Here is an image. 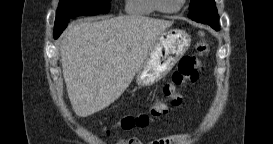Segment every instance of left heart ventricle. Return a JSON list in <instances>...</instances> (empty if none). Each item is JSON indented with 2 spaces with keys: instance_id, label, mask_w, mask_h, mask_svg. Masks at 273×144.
<instances>
[{
  "instance_id": "1",
  "label": "left heart ventricle",
  "mask_w": 273,
  "mask_h": 144,
  "mask_svg": "<svg viewBox=\"0 0 273 144\" xmlns=\"http://www.w3.org/2000/svg\"><path fill=\"white\" fill-rule=\"evenodd\" d=\"M180 0H162V5L166 9H174L179 5Z\"/></svg>"
}]
</instances>
